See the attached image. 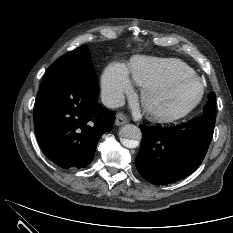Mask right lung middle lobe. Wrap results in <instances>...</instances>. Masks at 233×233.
Returning a JSON list of instances; mask_svg holds the SVG:
<instances>
[{"label": "right lung middle lobe", "mask_w": 233, "mask_h": 233, "mask_svg": "<svg viewBox=\"0 0 233 233\" xmlns=\"http://www.w3.org/2000/svg\"><path fill=\"white\" fill-rule=\"evenodd\" d=\"M94 71L89 50L85 46L66 53L58 58L47 72L82 73Z\"/></svg>", "instance_id": "1"}]
</instances>
